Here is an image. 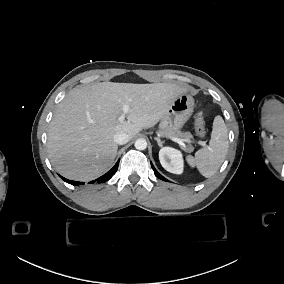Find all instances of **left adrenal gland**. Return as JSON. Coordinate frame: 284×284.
<instances>
[{"instance_id":"obj_1","label":"left adrenal gland","mask_w":284,"mask_h":284,"mask_svg":"<svg viewBox=\"0 0 284 284\" xmlns=\"http://www.w3.org/2000/svg\"><path fill=\"white\" fill-rule=\"evenodd\" d=\"M154 139L157 141L158 146H159V147H162V143H163V142L161 141V139L158 138V137H155Z\"/></svg>"}]
</instances>
